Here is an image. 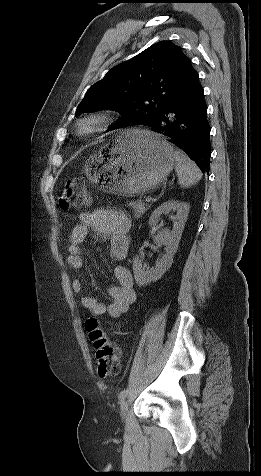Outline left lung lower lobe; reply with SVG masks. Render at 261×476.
Returning <instances> with one entry per match:
<instances>
[{
	"mask_svg": "<svg viewBox=\"0 0 261 476\" xmlns=\"http://www.w3.org/2000/svg\"><path fill=\"white\" fill-rule=\"evenodd\" d=\"M143 125L154 128L155 132L166 137L199 167L209 172L211 127L207 120L203 88L196 71L165 109Z\"/></svg>",
	"mask_w": 261,
	"mask_h": 476,
	"instance_id": "obj_1",
	"label": "left lung lower lobe"
}]
</instances>
